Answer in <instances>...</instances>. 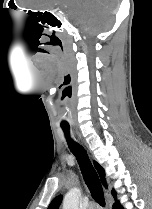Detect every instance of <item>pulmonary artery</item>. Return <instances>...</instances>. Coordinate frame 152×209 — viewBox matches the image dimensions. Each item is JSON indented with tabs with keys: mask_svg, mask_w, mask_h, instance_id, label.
Wrapping results in <instances>:
<instances>
[{
	"mask_svg": "<svg viewBox=\"0 0 152 209\" xmlns=\"http://www.w3.org/2000/svg\"><path fill=\"white\" fill-rule=\"evenodd\" d=\"M98 208L99 207L93 202H91L87 205V209H98Z\"/></svg>",
	"mask_w": 152,
	"mask_h": 209,
	"instance_id": "e3ab8cb5",
	"label": "pulmonary artery"
}]
</instances>
